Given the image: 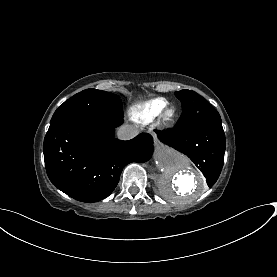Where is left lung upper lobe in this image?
<instances>
[{"mask_svg":"<svg viewBox=\"0 0 277 277\" xmlns=\"http://www.w3.org/2000/svg\"><path fill=\"white\" fill-rule=\"evenodd\" d=\"M181 101L183 116L177 127H188L205 122H221L219 113L200 95L192 90L175 92Z\"/></svg>","mask_w":277,"mask_h":277,"instance_id":"5c2ea615","label":"left lung upper lobe"}]
</instances>
